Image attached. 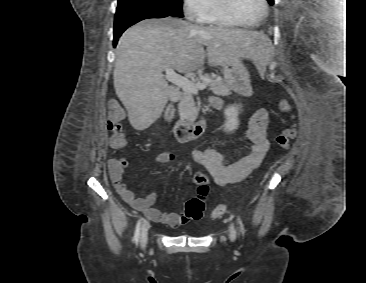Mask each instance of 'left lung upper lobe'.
<instances>
[{"instance_id":"obj_1","label":"left lung upper lobe","mask_w":366,"mask_h":283,"mask_svg":"<svg viewBox=\"0 0 366 283\" xmlns=\"http://www.w3.org/2000/svg\"><path fill=\"white\" fill-rule=\"evenodd\" d=\"M269 2L270 5L274 4V0H267Z\"/></svg>"}]
</instances>
